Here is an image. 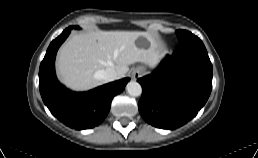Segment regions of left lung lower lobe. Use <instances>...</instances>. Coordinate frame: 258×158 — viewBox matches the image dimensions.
Returning <instances> with one entry per match:
<instances>
[{
	"instance_id": "0a47b994",
	"label": "left lung lower lobe",
	"mask_w": 258,
	"mask_h": 158,
	"mask_svg": "<svg viewBox=\"0 0 258 158\" xmlns=\"http://www.w3.org/2000/svg\"><path fill=\"white\" fill-rule=\"evenodd\" d=\"M142 86L138 108L157 128L176 129L205 105L212 89V64L203 42L195 35L181 42L152 74L137 80Z\"/></svg>"
}]
</instances>
